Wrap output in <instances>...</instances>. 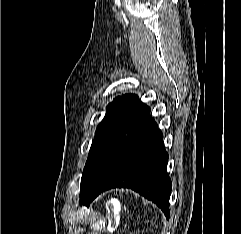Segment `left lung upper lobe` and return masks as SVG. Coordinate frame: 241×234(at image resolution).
<instances>
[{
    "label": "left lung upper lobe",
    "instance_id": "left-lung-upper-lobe-1",
    "mask_svg": "<svg viewBox=\"0 0 241 234\" xmlns=\"http://www.w3.org/2000/svg\"><path fill=\"white\" fill-rule=\"evenodd\" d=\"M140 101L133 94L118 96L107 106V113L98 125L95 139L92 142L88 159L86 161L80 188V203H83L89 185L99 170L111 144L123 127L126 120L138 107Z\"/></svg>",
    "mask_w": 241,
    "mask_h": 234
}]
</instances>
